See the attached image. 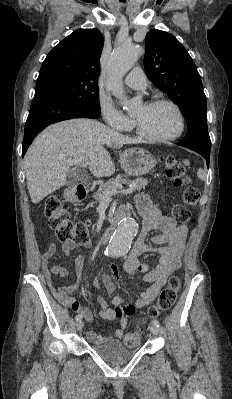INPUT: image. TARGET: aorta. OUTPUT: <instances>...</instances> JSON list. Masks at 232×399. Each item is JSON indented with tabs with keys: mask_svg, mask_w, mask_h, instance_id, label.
Here are the masks:
<instances>
[{
	"mask_svg": "<svg viewBox=\"0 0 232 399\" xmlns=\"http://www.w3.org/2000/svg\"><path fill=\"white\" fill-rule=\"evenodd\" d=\"M143 49L137 45H123L113 50L107 65L108 90L118 98L124 107H132L134 100H128L122 87V78L133 67ZM138 232V224L133 218L123 219L113 234L106 253L110 256L125 255L132 243V239Z\"/></svg>",
	"mask_w": 232,
	"mask_h": 399,
	"instance_id": "obj_1",
	"label": "aorta"
}]
</instances>
